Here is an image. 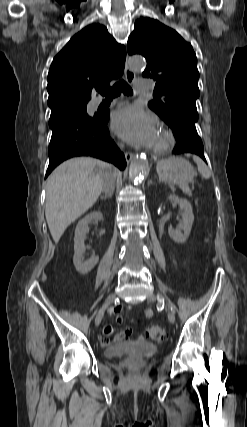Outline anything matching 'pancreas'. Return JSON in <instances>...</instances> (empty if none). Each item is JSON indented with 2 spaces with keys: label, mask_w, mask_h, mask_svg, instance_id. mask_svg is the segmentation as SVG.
I'll return each instance as SVG.
<instances>
[{
  "label": "pancreas",
  "mask_w": 247,
  "mask_h": 427,
  "mask_svg": "<svg viewBox=\"0 0 247 427\" xmlns=\"http://www.w3.org/2000/svg\"><path fill=\"white\" fill-rule=\"evenodd\" d=\"M183 188H184V190H185V192L187 193V194H191V191H190V189L188 188V186L185 184V185H183Z\"/></svg>",
  "instance_id": "pancreas-1"
}]
</instances>
